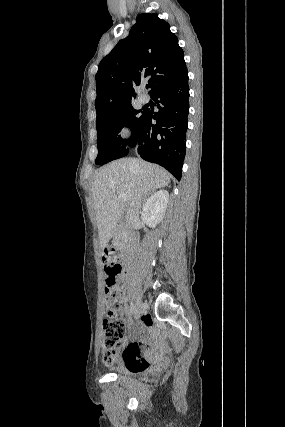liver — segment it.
<instances>
[{"label":"liver","mask_w":285,"mask_h":427,"mask_svg":"<svg viewBox=\"0 0 285 427\" xmlns=\"http://www.w3.org/2000/svg\"><path fill=\"white\" fill-rule=\"evenodd\" d=\"M170 178L164 168L137 158L113 161L97 172L91 185V196L101 249L107 247L115 224L123 214L118 194L123 193L130 205L138 192L143 198L167 186Z\"/></svg>","instance_id":"6515ba94"}]
</instances>
